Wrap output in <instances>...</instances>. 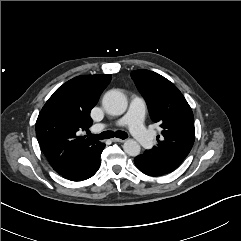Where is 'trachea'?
<instances>
[{
	"instance_id": "3493384b",
	"label": "trachea",
	"mask_w": 241,
	"mask_h": 241,
	"mask_svg": "<svg viewBox=\"0 0 241 241\" xmlns=\"http://www.w3.org/2000/svg\"><path fill=\"white\" fill-rule=\"evenodd\" d=\"M114 136L120 139H126L128 137L127 133L123 131H116V132L104 131L100 134L92 135L93 138L100 139V140L113 138Z\"/></svg>"
}]
</instances>
